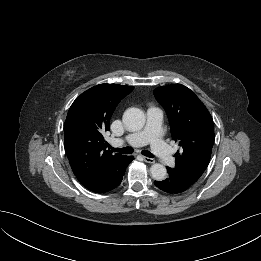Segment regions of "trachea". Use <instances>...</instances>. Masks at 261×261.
<instances>
[{"mask_svg": "<svg viewBox=\"0 0 261 261\" xmlns=\"http://www.w3.org/2000/svg\"><path fill=\"white\" fill-rule=\"evenodd\" d=\"M112 151L114 152H119L122 154H132L133 153V148L131 147H123V148H113L111 147ZM144 156H147L149 158L153 157V154L150 151L144 150L141 152Z\"/></svg>", "mask_w": 261, "mask_h": 261, "instance_id": "3493384b", "label": "trachea"}]
</instances>
